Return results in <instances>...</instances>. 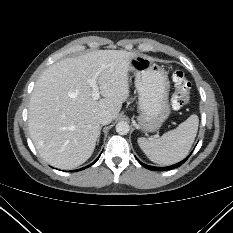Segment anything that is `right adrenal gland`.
Returning <instances> with one entry per match:
<instances>
[{
	"instance_id": "2a0ac1e0",
	"label": "right adrenal gland",
	"mask_w": 233,
	"mask_h": 233,
	"mask_svg": "<svg viewBox=\"0 0 233 233\" xmlns=\"http://www.w3.org/2000/svg\"><path fill=\"white\" fill-rule=\"evenodd\" d=\"M101 129H102V127H100L99 136H98V139H97V145H98V143H99V141H100Z\"/></svg>"
}]
</instances>
